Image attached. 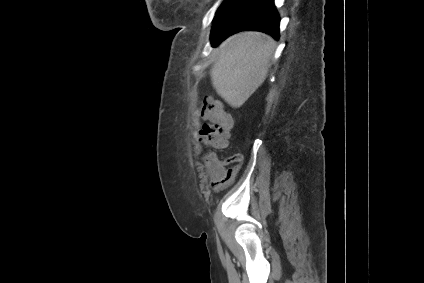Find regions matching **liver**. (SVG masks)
I'll list each match as a JSON object with an SVG mask.
<instances>
[{
	"label": "liver",
	"instance_id": "6515ba94",
	"mask_svg": "<svg viewBox=\"0 0 424 283\" xmlns=\"http://www.w3.org/2000/svg\"><path fill=\"white\" fill-rule=\"evenodd\" d=\"M274 49V39L257 31L226 39L211 71L217 93L232 107L242 106L265 81Z\"/></svg>",
	"mask_w": 424,
	"mask_h": 283
}]
</instances>
